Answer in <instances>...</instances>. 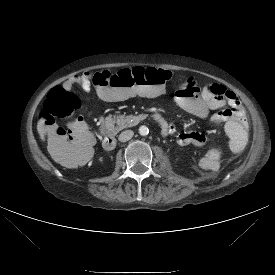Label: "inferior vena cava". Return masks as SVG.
Returning <instances> with one entry per match:
<instances>
[{"instance_id":"602c4592","label":"inferior vena cava","mask_w":275,"mask_h":275,"mask_svg":"<svg viewBox=\"0 0 275 275\" xmlns=\"http://www.w3.org/2000/svg\"><path fill=\"white\" fill-rule=\"evenodd\" d=\"M134 135V132L132 130H125L122 133H120L118 139L121 142H126L130 140Z\"/></svg>"}]
</instances>
